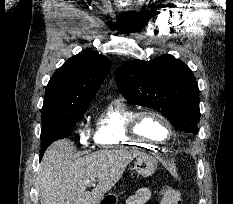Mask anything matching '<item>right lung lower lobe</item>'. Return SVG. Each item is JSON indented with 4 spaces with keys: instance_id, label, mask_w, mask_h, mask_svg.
Returning <instances> with one entry per match:
<instances>
[{
    "instance_id": "obj_1",
    "label": "right lung lower lobe",
    "mask_w": 233,
    "mask_h": 204,
    "mask_svg": "<svg viewBox=\"0 0 233 204\" xmlns=\"http://www.w3.org/2000/svg\"><path fill=\"white\" fill-rule=\"evenodd\" d=\"M47 147H42L41 152H40V159L42 158V156H43L45 150L47 149Z\"/></svg>"
}]
</instances>
